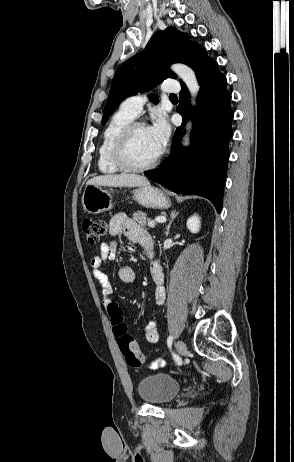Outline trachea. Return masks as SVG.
Segmentation results:
<instances>
[{
  "mask_svg": "<svg viewBox=\"0 0 294 462\" xmlns=\"http://www.w3.org/2000/svg\"><path fill=\"white\" fill-rule=\"evenodd\" d=\"M170 99H177V96L172 94V95H170Z\"/></svg>",
  "mask_w": 294,
  "mask_h": 462,
  "instance_id": "1",
  "label": "trachea"
}]
</instances>
